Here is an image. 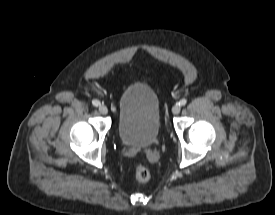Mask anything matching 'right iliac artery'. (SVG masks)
Here are the masks:
<instances>
[{
  "label": "right iliac artery",
  "mask_w": 275,
  "mask_h": 215,
  "mask_svg": "<svg viewBox=\"0 0 275 215\" xmlns=\"http://www.w3.org/2000/svg\"><path fill=\"white\" fill-rule=\"evenodd\" d=\"M92 104L96 107H98L100 105V101L99 100H93Z\"/></svg>",
  "instance_id": "obj_1"
}]
</instances>
